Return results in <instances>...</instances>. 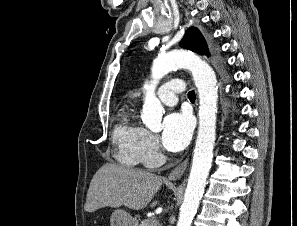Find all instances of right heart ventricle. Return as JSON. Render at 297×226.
<instances>
[{"label":"right heart ventricle","mask_w":297,"mask_h":226,"mask_svg":"<svg viewBox=\"0 0 297 226\" xmlns=\"http://www.w3.org/2000/svg\"><path fill=\"white\" fill-rule=\"evenodd\" d=\"M142 128L126 114L113 130L112 138L117 146V160L128 166L140 162L139 151Z\"/></svg>","instance_id":"right-heart-ventricle-1"}]
</instances>
